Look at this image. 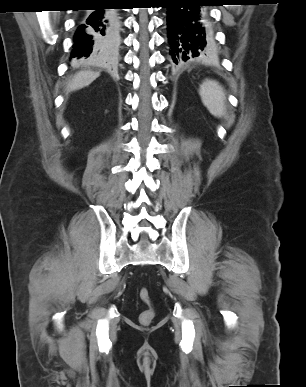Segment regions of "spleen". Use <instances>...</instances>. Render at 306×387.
I'll use <instances>...</instances> for the list:
<instances>
[{"label":"spleen","instance_id":"3e777b00","mask_svg":"<svg viewBox=\"0 0 306 387\" xmlns=\"http://www.w3.org/2000/svg\"><path fill=\"white\" fill-rule=\"evenodd\" d=\"M199 94L204 106L215 117L221 118L226 113V96L218 82L205 80L200 85Z\"/></svg>","mask_w":306,"mask_h":387}]
</instances>
